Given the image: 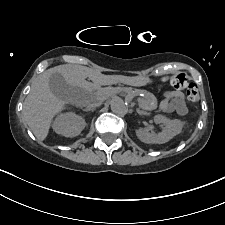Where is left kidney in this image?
Wrapping results in <instances>:
<instances>
[{"instance_id":"1","label":"left kidney","mask_w":225,"mask_h":225,"mask_svg":"<svg viewBox=\"0 0 225 225\" xmlns=\"http://www.w3.org/2000/svg\"><path fill=\"white\" fill-rule=\"evenodd\" d=\"M154 122L163 124L162 132L154 134L139 128L136 130V135L142 142L147 144H163L179 134L182 130V122L180 120H171L164 115H156Z\"/></svg>"}]
</instances>
